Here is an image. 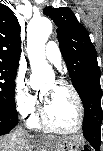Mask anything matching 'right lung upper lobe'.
Listing matches in <instances>:
<instances>
[{
    "mask_svg": "<svg viewBox=\"0 0 103 151\" xmlns=\"http://www.w3.org/2000/svg\"><path fill=\"white\" fill-rule=\"evenodd\" d=\"M20 25L12 11L0 4V63L19 64Z\"/></svg>",
    "mask_w": 103,
    "mask_h": 151,
    "instance_id": "cb5924a9",
    "label": "right lung upper lobe"
}]
</instances>
